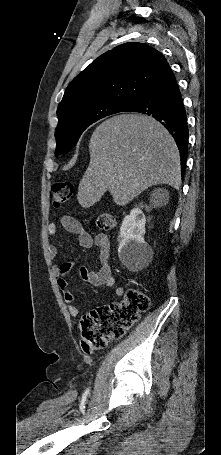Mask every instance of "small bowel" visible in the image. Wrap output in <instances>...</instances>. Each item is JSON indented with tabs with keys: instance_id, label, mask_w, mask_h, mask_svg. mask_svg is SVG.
Instances as JSON below:
<instances>
[{
	"instance_id": "obj_1",
	"label": "small bowel",
	"mask_w": 221,
	"mask_h": 455,
	"mask_svg": "<svg viewBox=\"0 0 221 455\" xmlns=\"http://www.w3.org/2000/svg\"><path fill=\"white\" fill-rule=\"evenodd\" d=\"M62 225L70 233L77 236L78 243L82 248L89 249L95 245L98 249V268L96 270H89L84 266L79 268V274L83 281L92 286H108L114 288V294L117 298L124 295V289L116 286V280L111 271L110 264V241L107 235L97 234L92 237L89 232L84 228L82 223L73 217H63L61 219ZM48 234L50 236L58 235V227L51 224L48 227ZM49 256L56 259L59 256V248L55 245L49 247ZM76 266L75 262L66 261L60 265H56L53 270L57 276L58 287L64 294V299L67 305L68 312L71 316H78L80 308L76 305L75 295L71 291L67 281V275Z\"/></svg>"
}]
</instances>
